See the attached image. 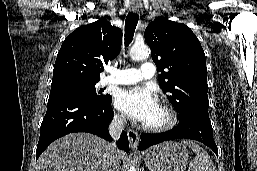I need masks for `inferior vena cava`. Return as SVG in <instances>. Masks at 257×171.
Instances as JSON below:
<instances>
[{
	"label": "inferior vena cava",
	"instance_id": "obj_1",
	"mask_svg": "<svg viewBox=\"0 0 257 171\" xmlns=\"http://www.w3.org/2000/svg\"><path fill=\"white\" fill-rule=\"evenodd\" d=\"M126 125L125 116H115L109 124V134L113 138L120 136L122 129ZM108 154L106 156L103 171H119V164L115 158L116 147L113 144L108 143Z\"/></svg>",
	"mask_w": 257,
	"mask_h": 171
}]
</instances>
